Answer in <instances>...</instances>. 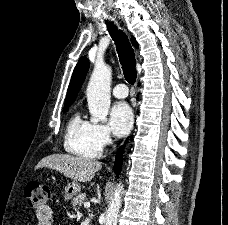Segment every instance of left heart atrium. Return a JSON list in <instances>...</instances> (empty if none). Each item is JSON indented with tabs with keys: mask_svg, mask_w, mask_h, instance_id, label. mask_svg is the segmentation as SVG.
Instances as JSON below:
<instances>
[{
	"mask_svg": "<svg viewBox=\"0 0 228 225\" xmlns=\"http://www.w3.org/2000/svg\"><path fill=\"white\" fill-rule=\"evenodd\" d=\"M133 113L127 103L119 102L110 110V124L115 135H125L132 124Z\"/></svg>",
	"mask_w": 228,
	"mask_h": 225,
	"instance_id": "39dd6f15",
	"label": "left heart atrium"
}]
</instances>
